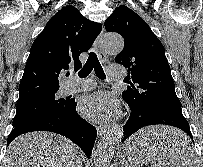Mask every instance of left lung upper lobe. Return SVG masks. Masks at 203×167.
<instances>
[{
	"instance_id": "5c2ea615",
	"label": "left lung upper lobe",
	"mask_w": 203,
	"mask_h": 167,
	"mask_svg": "<svg viewBox=\"0 0 203 167\" xmlns=\"http://www.w3.org/2000/svg\"><path fill=\"white\" fill-rule=\"evenodd\" d=\"M105 29L124 38V49L115 62L128 68V79L133 81L122 92L126 103L146 113L181 108L164 47L149 25L127 6L120 5L106 19Z\"/></svg>"
}]
</instances>
